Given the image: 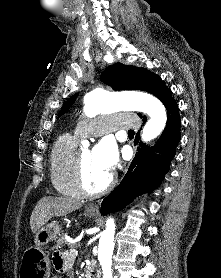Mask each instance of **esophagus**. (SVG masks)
<instances>
[{"instance_id":"esophagus-1","label":"esophagus","mask_w":221,"mask_h":278,"mask_svg":"<svg viewBox=\"0 0 221 278\" xmlns=\"http://www.w3.org/2000/svg\"><path fill=\"white\" fill-rule=\"evenodd\" d=\"M90 209L95 210V211H98L99 207H98V205H96V204H92V205L90 206Z\"/></svg>"}]
</instances>
